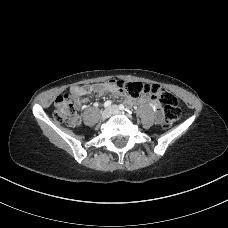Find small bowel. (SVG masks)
Returning a JSON list of instances; mask_svg holds the SVG:
<instances>
[{"label": "small bowel", "instance_id": "obj_1", "mask_svg": "<svg viewBox=\"0 0 228 228\" xmlns=\"http://www.w3.org/2000/svg\"><path fill=\"white\" fill-rule=\"evenodd\" d=\"M69 93L73 97L76 107H80L85 102V99H82L81 97L88 93H96L98 95L110 94V95L114 96L115 98L127 97L123 91H121L119 88L116 87L115 80H110V81H107L104 83H98V84H92V85H75L69 89ZM141 101H149L153 108H155V109L160 108L159 103L155 100L143 99ZM127 102L135 103L136 101L127 97ZM78 122H79L78 117H75L72 120V124H78Z\"/></svg>", "mask_w": 228, "mask_h": 228}]
</instances>
